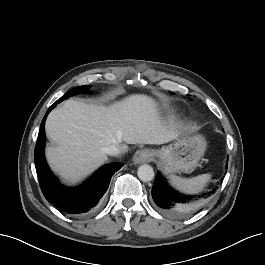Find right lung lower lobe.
<instances>
[{"instance_id": "right-lung-lower-lobe-1", "label": "right lung lower lobe", "mask_w": 265, "mask_h": 265, "mask_svg": "<svg viewBox=\"0 0 265 265\" xmlns=\"http://www.w3.org/2000/svg\"><path fill=\"white\" fill-rule=\"evenodd\" d=\"M55 102L46 112L38 135L34 160L39 184L45 198L61 211L82 215L97 205L108 189L111 177L119 170L122 163H112L98 170L86 183L76 188H68L60 184L47 166L44 157L45 132L44 124L48 113L56 106Z\"/></svg>"}]
</instances>
